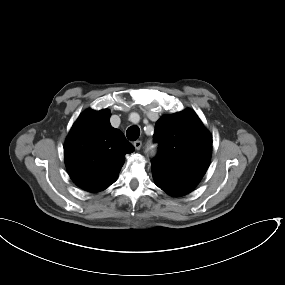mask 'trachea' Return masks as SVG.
<instances>
[{"mask_svg": "<svg viewBox=\"0 0 285 285\" xmlns=\"http://www.w3.org/2000/svg\"><path fill=\"white\" fill-rule=\"evenodd\" d=\"M127 138L131 141H135L138 139L140 135V129L138 126H131L127 129L126 132Z\"/></svg>", "mask_w": 285, "mask_h": 285, "instance_id": "trachea-1", "label": "trachea"}]
</instances>
